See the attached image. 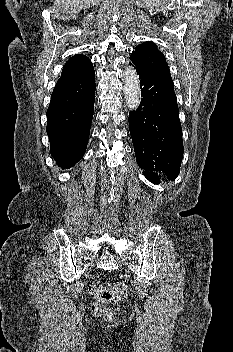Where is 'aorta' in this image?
Segmentation results:
<instances>
[{"instance_id":"1","label":"aorta","mask_w":233,"mask_h":352,"mask_svg":"<svg viewBox=\"0 0 233 352\" xmlns=\"http://www.w3.org/2000/svg\"><path fill=\"white\" fill-rule=\"evenodd\" d=\"M123 91L126 105L131 110H136L141 101V92L138 75L134 68L128 67L124 72Z\"/></svg>"}]
</instances>
